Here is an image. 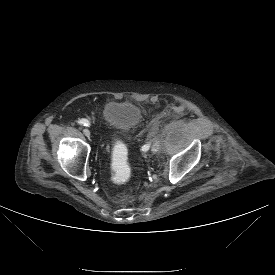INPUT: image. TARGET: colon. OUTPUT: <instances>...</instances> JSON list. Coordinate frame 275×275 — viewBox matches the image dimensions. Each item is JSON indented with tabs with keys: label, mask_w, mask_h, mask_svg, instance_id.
I'll return each instance as SVG.
<instances>
[{
	"label": "colon",
	"mask_w": 275,
	"mask_h": 275,
	"mask_svg": "<svg viewBox=\"0 0 275 275\" xmlns=\"http://www.w3.org/2000/svg\"><path fill=\"white\" fill-rule=\"evenodd\" d=\"M112 179L117 184L126 182L131 176V166L124 152L118 154L112 163Z\"/></svg>",
	"instance_id": "colon-1"
}]
</instances>
